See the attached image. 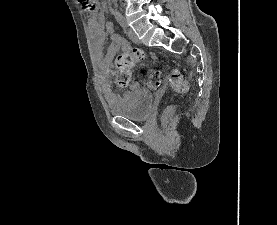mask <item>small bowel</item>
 <instances>
[{"label":"small bowel","instance_id":"c3829d8e","mask_svg":"<svg viewBox=\"0 0 277 225\" xmlns=\"http://www.w3.org/2000/svg\"><path fill=\"white\" fill-rule=\"evenodd\" d=\"M90 12L91 15L89 18V31L92 38L94 53L99 64L103 69V72L106 74L108 71V65L114 57L115 53L121 48L127 49L128 45L125 43L121 36L114 33L113 25L111 23H107L106 31L111 35V44L107 48L106 52L103 53L102 41L104 39V30L101 25V19L96 16L94 11ZM133 88H138V85L134 84ZM103 92L105 98L108 101H112L114 99L113 93L110 89V85L106 82L103 83Z\"/></svg>","mask_w":277,"mask_h":225}]
</instances>
